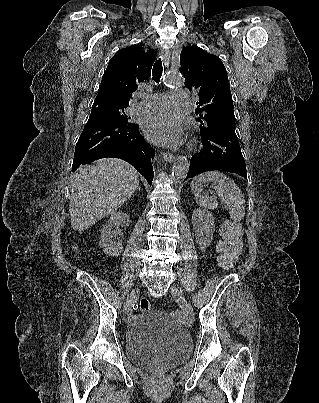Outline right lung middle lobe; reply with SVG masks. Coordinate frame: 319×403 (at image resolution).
Here are the masks:
<instances>
[{
    "label": "right lung middle lobe",
    "instance_id": "right-lung-middle-lobe-1",
    "mask_svg": "<svg viewBox=\"0 0 319 403\" xmlns=\"http://www.w3.org/2000/svg\"><path fill=\"white\" fill-rule=\"evenodd\" d=\"M127 106L111 104H93L88 121L106 120L112 122L129 123L130 117L124 113Z\"/></svg>",
    "mask_w": 319,
    "mask_h": 403
}]
</instances>
